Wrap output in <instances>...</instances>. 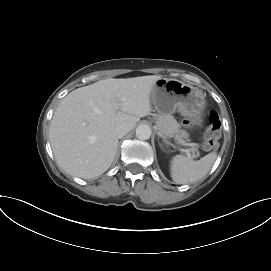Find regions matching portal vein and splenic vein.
<instances>
[{
  "label": "portal vein and splenic vein",
  "instance_id": "1",
  "mask_svg": "<svg viewBox=\"0 0 271 271\" xmlns=\"http://www.w3.org/2000/svg\"><path fill=\"white\" fill-rule=\"evenodd\" d=\"M182 151L185 152L189 158H191V154L189 150L183 149Z\"/></svg>",
  "mask_w": 271,
  "mask_h": 271
}]
</instances>
